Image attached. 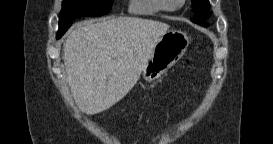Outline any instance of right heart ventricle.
Masks as SVG:
<instances>
[{"label":"right heart ventricle","mask_w":273,"mask_h":144,"mask_svg":"<svg viewBox=\"0 0 273 144\" xmlns=\"http://www.w3.org/2000/svg\"><path fill=\"white\" fill-rule=\"evenodd\" d=\"M129 10L136 15L152 16L161 10L157 0H132Z\"/></svg>","instance_id":"1"}]
</instances>
